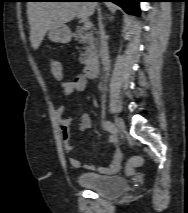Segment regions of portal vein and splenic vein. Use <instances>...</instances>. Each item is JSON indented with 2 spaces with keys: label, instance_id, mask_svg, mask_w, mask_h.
I'll return each instance as SVG.
<instances>
[{
  "label": "portal vein and splenic vein",
  "instance_id": "1",
  "mask_svg": "<svg viewBox=\"0 0 188 213\" xmlns=\"http://www.w3.org/2000/svg\"><path fill=\"white\" fill-rule=\"evenodd\" d=\"M92 26V23L90 21H84V29H89Z\"/></svg>",
  "mask_w": 188,
  "mask_h": 213
}]
</instances>
